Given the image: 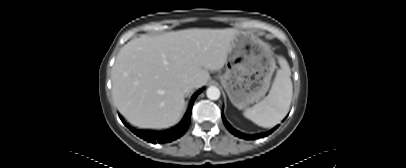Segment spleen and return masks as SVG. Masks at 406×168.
Masks as SVG:
<instances>
[{
	"instance_id": "3e777b00",
	"label": "spleen",
	"mask_w": 406,
	"mask_h": 168,
	"mask_svg": "<svg viewBox=\"0 0 406 168\" xmlns=\"http://www.w3.org/2000/svg\"><path fill=\"white\" fill-rule=\"evenodd\" d=\"M278 62L280 69L267 97L243 113L246 118L264 128L277 125L287 115L292 100L290 67L283 57H279Z\"/></svg>"
}]
</instances>
